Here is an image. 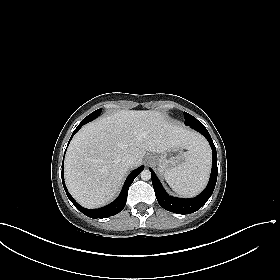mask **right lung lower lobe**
I'll return each instance as SVG.
<instances>
[{
  "instance_id": "98d812e1",
  "label": "right lung lower lobe",
  "mask_w": 280,
  "mask_h": 280,
  "mask_svg": "<svg viewBox=\"0 0 280 280\" xmlns=\"http://www.w3.org/2000/svg\"><path fill=\"white\" fill-rule=\"evenodd\" d=\"M88 123L87 120H85V118L81 121V123L77 126V128L74 130L70 140L72 139L73 135L81 128L82 125ZM69 140V142H70ZM68 142V144H69ZM144 169V166H140L139 168H137L136 170H134L126 179L123 188L121 190V193L119 194L118 198L113 201L111 204L99 208V209H85L82 206H80L73 198L72 196L69 194L65 182H64V177H63V165H62V182H63V186L65 189V192L68 196V198L70 199V201L73 203V205L79 210L81 211L83 214H85L86 216L93 218V219H97V218H107L113 215H116L117 213H119L120 211L123 210V208L126 205V200H127V194H128V189L129 186L132 184L133 180L138 176V174Z\"/></svg>"
}]
</instances>
